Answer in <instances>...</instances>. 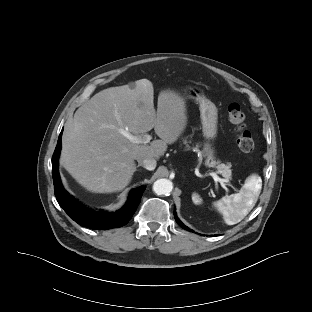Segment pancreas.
<instances>
[{"label":"pancreas","instance_id":"cf45deb5","mask_svg":"<svg viewBox=\"0 0 312 312\" xmlns=\"http://www.w3.org/2000/svg\"><path fill=\"white\" fill-rule=\"evenodd\" d=\"M184 143H186V142H184ZM215 164H216V162H214V161L210 163L211 166H215ZM217 168H218L219 170H221L222 175H223L227 180L231 179L232 173H231V170H230V166L224 165V164H220V165L217 166Z\"/></svg>","mask_w":312,"mask_h":312}]
</instances>
